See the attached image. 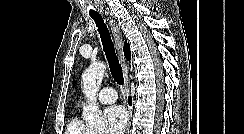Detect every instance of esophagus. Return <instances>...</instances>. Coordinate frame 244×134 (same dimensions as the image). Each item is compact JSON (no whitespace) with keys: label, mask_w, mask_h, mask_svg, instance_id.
<instances>
[{"label":"esophagus","mask_w":244,"mask_h":134,"mask_svg":"<svg viewBox=\"0 0 244 134\" xmlns=\"http://www.w3.org/2000/svg\"><path fill=\"white\" fill-rule=\"evenodd\" d=\"M110 29L112 31L114 40H115V45H116V49H117V53L122 65V70H123V77H124V92L125 95L127 96L129 93V77H128V64L127 61L125 59L124 53H123V35L121 32V29L118 25L117 22H115V20L111 19L110 17H106ZM129 115H128V124L126 127V132L125 134H129V130H130V125H131V119H132V110L131 108H129Z\"/></svg>","instance_id":"34e87169"}]
</instances>
